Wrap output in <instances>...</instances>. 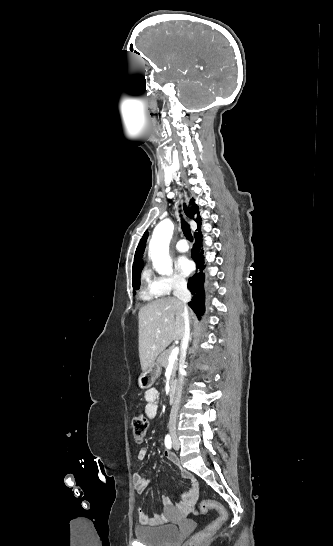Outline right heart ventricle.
I'll return each instance as SVG.
<instances>
[{
    "label": "right heart ventricle",
    "instance_id": "1",
    "mask_svg": "<svg viewBox=\"0 0 333 546\" xmlns=\"http://www.w3.org/2000/svg\"><path fill=\"white\" fill-rule=\"evenodd\" d=\"M158 295L154 292L149 270H144L142 275L141 297L146 301L154 300Z\"/></svg>",
    "mask_w": 333,
    "mask_h": 546
}]
</instances>
